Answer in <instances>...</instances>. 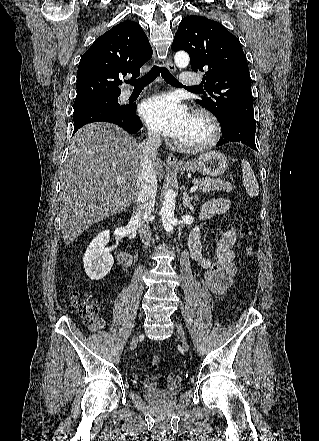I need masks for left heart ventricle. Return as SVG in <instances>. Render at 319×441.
Instances as JSON below:
<instances>
[{"mask_svg":"<svg viewBox=\"0 0 319 441\" xmlns=\"http://www.w3.org/2000/svg\"><path fill=\"white\" fill-rule=\"evenodd\" d=\"M207 136H208L207 125L202 121L192 119L190 125L188 126L187 130L180 138V140L193 143V142L202 141Z\"/></svg>","mask_w":319,"mask_h":441,"instance_id":"left-heart-ventricle-1","label":"left heart ventricle"}]
</instances>
